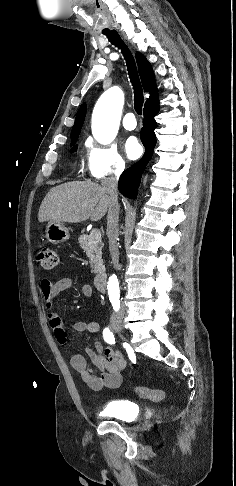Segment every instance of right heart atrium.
<instances>
[{
    "instance_id": "obj_1",
    "label": "right heart atrium",
    "mask_w": 236,
    "mask_h": 486,
    "mask_svg": "<svg viewBox=\"0 0 236 486\" xmlns=\"http://www.w3.org/2000/svg\"><path fill=\"white\" fill-rule=\"evenodd\" d=\"M87 172L93 179L100 180L123 172L126 162L114 145H100L86 141Z\"/></svg>"
}]
</instances>
